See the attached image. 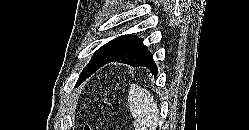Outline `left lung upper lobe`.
Segmentation results:
<instances>
[{
  "mask_svg": "<svg viewBox=\"0 0 249 130\" xmlns=\"http://www.w3.org/2000/svg\"><path fill=\"white\" fill-rule=\"evenodd\" d=\"M135 36L128 34L111 40L102 47H100L93 55L90 62L82 70L76 86L84 82L89 76H91L97 69H99L104 63L113 57L117 56L132 40Z\"/></svg>",
  "mask_w": 249,
  "mask_h": 130,
  "instance_id": "1",
  "label": "left lung upper lobe"
}]
</instances>
